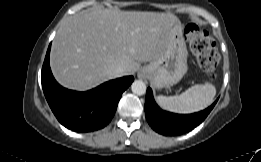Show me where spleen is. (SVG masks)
<instances>
[{"label":"spleen","instance_id":"3e777b00","mask_svg":"<svg viewBox=\"0 0 261 162\" xmlns=\"http://www.w3.org/2000/svg\"><path fill=\"white\" fill-rule=\"evenodd\" d=\"M216 94V88L209 82L197 84L180 95L166 97L157 96L160 107L174 113H193L208 107Z\"/></svg>","mask_w":261,"mask_h":162}]
</instances>
